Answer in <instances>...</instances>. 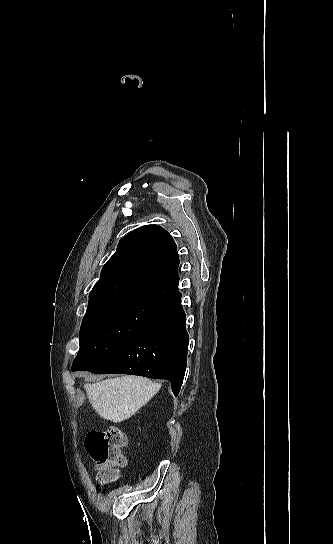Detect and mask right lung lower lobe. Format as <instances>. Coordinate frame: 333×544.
<instances>
[{
	"label": "right lung lower lobe",
	"mask_w": 333,
	"mask_h": 544,
	"mask_svg": "<svg viewBox=\"0 0 333 544\" xmlns=\"http://www.w3.org/2000/svg\"><path fill=\"white\" fill-rule=\"evenodd\" d=\"M181 298L170 303L141 332L87 364L72 370L124 373L166 379L178 395L187 363L189 336Z\"/></svg>",
	"instance_id": "1"
}]
</instances>
